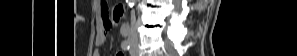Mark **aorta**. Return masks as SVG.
I'll use <instances>...</instances> for the list:
<instances>
[{"instance_id":"762f6f07","label":"aorta","mask_w":297,"mask_h":56,"mask_svg":"<svg viewBox=\"0 0 297 56\" xmlns=\"http://www.w3.org/2000/svg\"><path fill=\"white\" fill-rule=\"evenodd\" d=\"M129 2H133V0H129Z\"/></svg>"}]
</instances>
